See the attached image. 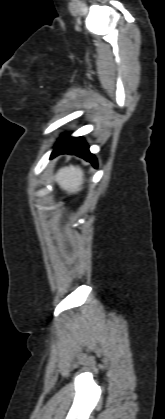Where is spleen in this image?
Masks as SVG:
<instances>
[{
    "label": "spleen",
    "mask_w": 165,
    "mask_h": 419,
    "mask_svg": "<svg viewBox=\"0 0 165 419\" xmlns=\"http://www.w3.org/2000/svg\"><path fill=\"white\" fill-rule=\"evenodd\" d=\"M84 180V172L79 166H67L58 170L56 181L63 190L68 192L79 191Z\"/></svg>",
    "instance_id": "spleen-1"
}]
</instances>
